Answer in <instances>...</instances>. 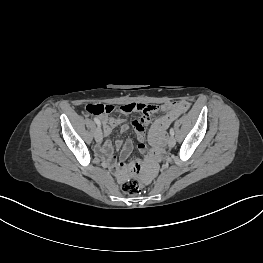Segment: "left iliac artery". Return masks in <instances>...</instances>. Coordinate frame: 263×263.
<instances>
[{
	"label": "left iliac artery",
	"mask_w": 263,
	"mask_h": 263,
	"mask_svg": "<svg viewBox=\"0 0 263 263\" xmlns=\"http://www.w3.org/2000/svg\"><path fill=\"white\" fill-rule=\"evenodd\" d=\"M170 135L174 136V129L173 128L170 129Z\"/></svg>",
	"instance_id": "obj_1"
}]
</instances>
